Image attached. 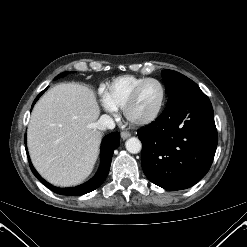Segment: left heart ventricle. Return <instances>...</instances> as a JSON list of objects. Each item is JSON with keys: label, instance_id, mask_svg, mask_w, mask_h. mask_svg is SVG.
Masks as SVG:
<instances>
[{"label": "left heart ventricle", "instance_id": "obj_1", "mask_svg": "<svg viewBox=\"0 0 247 247\" xmlns=\"http://www.w3.org/2000/svg\"><path fill=\"white\" fill-rule=\"evenodd\" d=\"M162 96L161 87L155 83H147L130 108V116L134 120H141L151 116L158 108Z\"/></svg>", "mask_w": 247, "mask_h": 247}]
</instances>
